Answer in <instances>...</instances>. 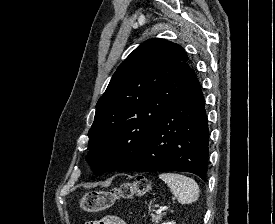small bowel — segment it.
<instances>
[{
	"label": "small bowel",
	"mask_w": 275,
	"mask_h": 224,
	"mask_svg": "<svg viewBox=\"0 0 275 224\" xmlns=\"http://www.w3.org/2000/svg\"><path fill=\"white\" fill-rule=\"evenodd\" d=\"M86 224H127V223L123 219L117 216L107 215L101 219L89 221Z\"/></svg>",
	"instance_id": "obj_1"
}]
</instances>
